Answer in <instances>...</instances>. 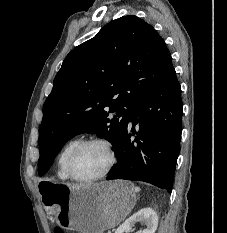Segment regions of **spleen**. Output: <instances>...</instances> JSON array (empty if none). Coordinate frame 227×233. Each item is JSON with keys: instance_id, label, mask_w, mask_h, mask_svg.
Wrapping results in <instances>:
<instances>
[{"instance_id": "3e777b00", "label": "spleen", "mask_w": 227, "mask_h": 233, "mask_svg": "<svg viewBox=\"0 0 227 233\" xmlns=\"http://www.w3.org/2000/svg\"><path fill=\"white\" fill-rule=\"evenodd\" d=\"M134 191H135V192H139V191H140V188H139V187H135V188H134Z\"/></svg>"}]
</instances>
